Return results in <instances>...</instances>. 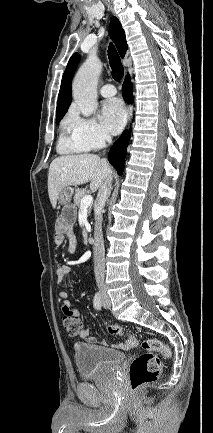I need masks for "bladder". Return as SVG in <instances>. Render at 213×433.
I'll return each mask as SVG.
<instances>
[{
  "label": "bladder",
  "mask_w": 213,
  "mask_h": 433,
  "mask_svg": "<svg viewBox=\"0 0 213 433\" xmlns=\"http://www.w3.org/2000/svg\"><path fill=\"white\" fill-rule=\"evenodd\" d=\"M74 357L79 376L82 379L103 378L113 372L125 359L120 351L98 345L78 343Z\"/></svg>",
  "instance_id": "obj_1"
}]
</instances>
